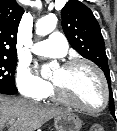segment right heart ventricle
<instances>
[{
  "mask_svg": "<svg viewBox=\"0 0 117 131\" xmlns=\"http://www.w3.org/2000/svg\"><path fill=\"white\" fill-rule=\"evenodd\" d=\"M50 94H51V91L49 92V94H48V95H50ZM48 95H47V96H48Z\"/></svg>",
  "mask_w": 117,
  "mask_h": 131,
  "instance_id": "1",
  "label": "right heart ventricle"
}]
</instances>
